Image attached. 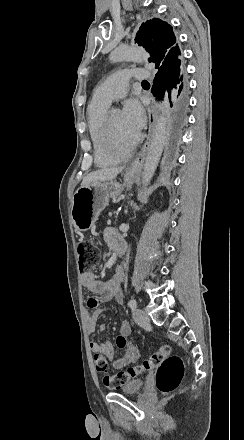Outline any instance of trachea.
I'll use <instances>...</instances> for the list:
<instances>
[{
    "label": "trachea",
    "mask_w": 244,
    "mask_h": 440,
    "mask_svg": "<svg viewBox=\"0 0 244 440\" xmlns=\"http://www.w3.org/2000/svg\"><path fill=\"white\" fill-rule=\"evenodd\" d=\"M142 83H148L147 80H143Z\"/></svg>",
    "instance_id": "1"
}]
</instances>
